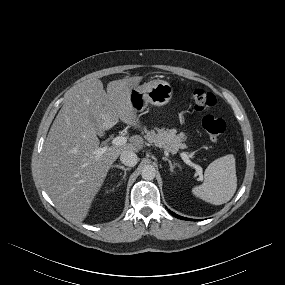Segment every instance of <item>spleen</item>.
Returning <instances> with one entry per match:
<instances>
[{"label": "spleen", "mask_w": 285, "mask_h": 285, "mask_svg": "<svg viewBox=\"0 0 285 285\" xmlns=\"http://www.w3.org/2000/svg\"><path fill=\"white\" fill-rule=\"evenodd\" d=\"M204 178L202 185L192 189L193 194L214 205L227 203L237 188L234 156L228 154L214 160L206 168Z\"/></svg>", "instance_id": "obj_1"}]
</instances>
